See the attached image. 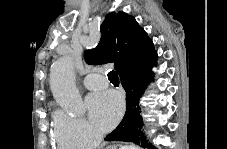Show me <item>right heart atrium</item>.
<instances>
[{"mask_svg": "<svg viewBox=\"0 0 227 149\" xmlns=\"http://www.w3.org/2000/svg\"><path fill=\"white\" fill-rule=\"evenodd\" d=\"M54 136L57 144L66 148L95 146L100 134L81 116H72L58 110L54 114Z\"/></svg>", "mask_w": 227, "mask_h": 149, "instance_id": "right-heart-atrium-1", "label": "right heart atrium"}]
</instances>
